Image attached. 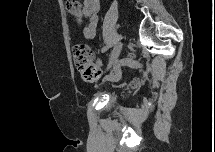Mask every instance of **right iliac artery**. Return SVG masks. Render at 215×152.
Instances as JSON below:
<instances>
[{"instance_id":"1","label":"right iliac artery","mask_w":215,"mask_h":152,"mask_svg":"<svg viewBox=\"0 0 215 152\" xmlns=\"http://www.w3.org/2000/svg\"><path fill=\"white\" fill-rule=\"evenodd\" d=\"M106 50H107V48H104V49H103V51H106ZM106 79H108V78H106Z\"/></svg>"}]
</instances>
